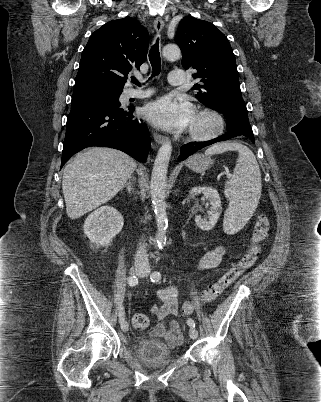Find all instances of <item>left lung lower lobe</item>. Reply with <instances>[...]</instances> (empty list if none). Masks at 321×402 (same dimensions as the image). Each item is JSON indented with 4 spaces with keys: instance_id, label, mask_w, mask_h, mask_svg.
I'll list each match as a JSON object with an SVG mask.
<instances>
[{
    "instance_id": "obj_1",
    "label": "left lung lower lobe",
    "mask_w": 321,
    "mask_h": 402,
    "mask_svg": "<svg viewBox=\"0 0 321 402\" xmlns=\"http://www.w3.org/2000/svg\"><path fill=\"white\" fill-rule=\"evenodd\" d=\"M227 119V134H224L218 138L204 141V142H190L184 145L180 150L179 160H185L188 156L194 152L212 145L216 142L225 141L230 138L243 135L248 137L253 143L254 135L251 129L246 106H234L228 108L226 113H223Z\"/></svg>"
}]
</instances>
